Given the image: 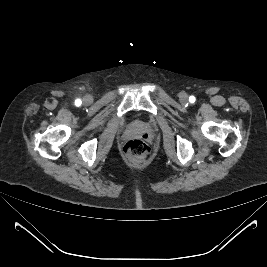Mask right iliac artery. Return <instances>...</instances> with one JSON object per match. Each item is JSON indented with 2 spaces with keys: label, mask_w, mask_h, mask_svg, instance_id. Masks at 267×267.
Returning <instances> with one entry per match:
<instances>
[{
  "label": "right iliac artery",
  "mask_w": 267,
  "mask_h": 267,
  "mask_svg": "<svg viewBox=\"0 0 267 267\" xmlns=\"http://www.w3.org/2000/svg\"><path fill=\"white\" fill-rule=\"evenodd\" d=\"M75 104H76L77 106L81 105V100H80V99H77V100L75 101Z\"/></svg>",
  "instance_id": "obj_1"
}]
</instances>
